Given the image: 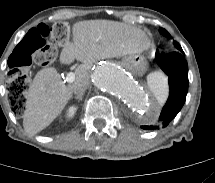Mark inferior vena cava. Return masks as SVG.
<instances>
[{"label":"inferior vena cava","mask_w":215,"mask_h":183,"mask_svg":"<svg viewBox=\"0 0 215 183\" xmlns=\"http://www.w3.org/2000/svg\"><path fill=\"white\" fill-rule=\"evenodd\" d=\"M90 85L89 78H81L73 83V90L76 94L84 92Z\"/></svg>","instance_id":"1"}]
</instances>
